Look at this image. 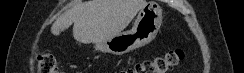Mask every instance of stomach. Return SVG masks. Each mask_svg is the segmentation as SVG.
I'll return each mask as SVG.
<instances>
[{
    "label": "stomach",
    "instance_id": "1",
    "mask_svg": "<svg viewBox=\"0 0 244 73\" xmlns=\"http://www.w3.org/2000/svg\"><path fill=\"white\" fill-rule=\"evenodd\" d=\"M162 9L150 1L138 13L131 30L95 43V49L114 55H123L149 44L157 35L162 24Z\"/></svg>",
    "mask_w": 244,
    "mask_h": 73
}]
</instances>
